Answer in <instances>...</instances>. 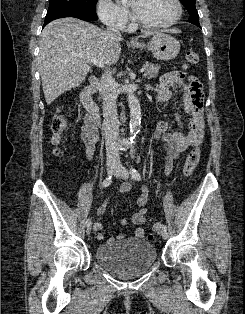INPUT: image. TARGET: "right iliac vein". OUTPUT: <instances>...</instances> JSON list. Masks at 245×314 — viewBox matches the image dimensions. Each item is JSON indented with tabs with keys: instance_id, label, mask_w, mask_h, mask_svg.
<instances>
[{
	"instance_id": "1",
	"label": "right iliac vein",
	"mask_w": 245,
	"mask_h": 314,
	"mask_svg": "<svg viewBox=\"0 0 245 314\" xmlns=\"http://www.w3.org/2000/svg\"><path fill=\"white\" fill-rule=\"evenodd\" d=\"M115 170H116V163L115 162L108 163V165H107V174H108V176L113 175ZM86 232H87V234L91 233V225L87 226Z\"/></svg>"
}]
</instances>
